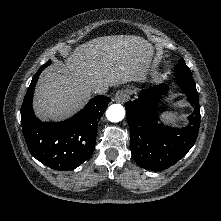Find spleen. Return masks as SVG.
<instances>
[{
  "label": "spleen",
  "instance_id": "3e777b00",
  "mask_svg": "<svg viewBox=\"0 0 221 221\" xmlns=\"http://www.w3.org/2000/svg\"><path fill=\"white\" fill-rule=\"evenodd\" d=\"M161 117L165 123H176L179 119L177 112L166 111L161 114Z\"/></svg>",
  "mask_w": 221,
  "mask_h": 221
}]
</instances>
